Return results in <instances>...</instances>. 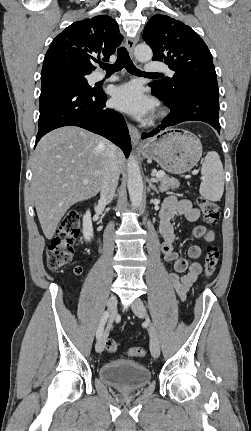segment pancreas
I'll use <instances>...</instances> for the list:
<instances>
[{
	"mask_svg": "<svg viewBox=\"0 0 251 431\" xmlns=\"http://www.w3.org/2000/svg\"><path fill=\"white\" fill-rule=\"evenodd\" d=\"M157 182L159 183V190L161 192L168 191L169 189H177L180 186V183L177 179L169 177L165 174L162 177L157 178Z\"/></svg>",
	"mask_w": 251,
	"mask_h": 431,
	"instance_id": "cf45deb5",
	"label": "pancreas"
}]
</instances>
